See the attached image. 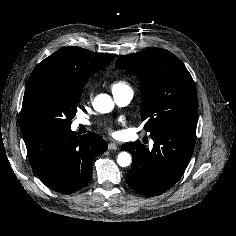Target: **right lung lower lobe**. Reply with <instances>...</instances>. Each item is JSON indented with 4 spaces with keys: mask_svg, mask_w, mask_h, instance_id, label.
Listing matches in <instances>:
<instances>
[{
    "mask_svg": "<svg viewBox=\"0 0 236 236\" xmlns=\"http://www.w3.org/2000/svg\"><path fill=\"white\" fill-rule=\"evenodd\" d=\"M31 165L50 189L71 194L91 179L94 158L107 150L106 141L89 132L79 138L71 129L23 136Z\"/></svg>",
    "mask_w": 236,
    "mask_h": 236,
    "instance_id": "98d812e1",
    "label": "right lung lower lobe"
}]
</instances>
